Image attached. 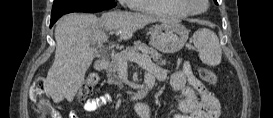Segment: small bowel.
<instances>
[{"label":"small bowel","mask_w":273,"mask_h":118,"mask_svg":"<svg viewBox=\"0 0 273 118\" xmlns=\"http://www.w3.org/2000/svg\"><path fill=\"white\" fill-rule=\"evenodd\" d=\"M170 82L172 88L181 93L182 100L178 103V110L173 114V118H219L220 103L217 97L208 90L193 74L187 62L181 63L180 67L167 72L158 66H152L145 76V80H155ZM111 102L108 95L96 96L88 99L83 108L87 112H93L103 105ZM137 112L142 118H149L147 108L139 104ZM70 118H77L78 112L72 110Z\"/></svg>","instance_id":"small-bowel-1"}]
</instances>
